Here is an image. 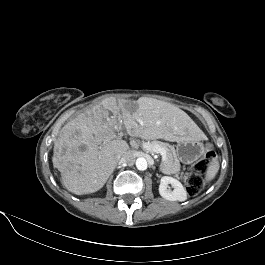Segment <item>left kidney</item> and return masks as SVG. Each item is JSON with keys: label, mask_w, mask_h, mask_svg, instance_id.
<instances>
[{"label": "left kidney", "mask_w": 265, "mask_h": 265, "mask_svg": "<svg viewBox=\"0 0 265 265\" xmlns=\"http://www.w3.org/2000/svg\"><path fill=\"white\" fill-rule=\"evenodd\" d=\"M174 189L170 190L168 185ZM159 194L169 201H185L187 199V191L180 181L173 177L163 176L160 180Z\"/></svg>", "instance_id": "obj_1"}]
</instances>
